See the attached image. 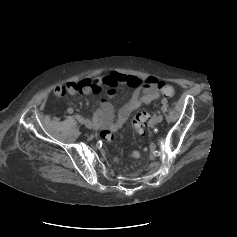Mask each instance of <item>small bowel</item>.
Returning <instances> with one entry per match:
<instances>
[{
	"instance_id": "obj_1",
	"label": "small bowel",
	"mask_w": 237,
	"mask_h": 237,
	"mask_svg": "<svg viewBox=\"0 0 237 237\" xmlns=\"http://www.w3.org/2000/svg\"><path fill=\"white\" fill-rule=\"evenodd\" d=\"M159 84L160 81L156 77L139 79L135 76L113 72L105 77L84 79L79 82L58 85L54 89V94L57 97H62L66 93L86 95L105 91L108 95L112 96L119 85H128L133 88L131 99L119 110L116 117L113 116V106L108 101L102 100L97 105L94 113L96 124L115 131L121 127L134 110L150 104L159 97Z\"/></svg>"
}]
</instances>
